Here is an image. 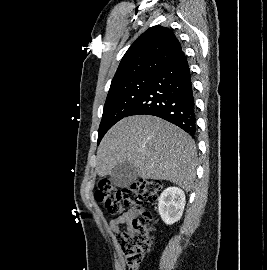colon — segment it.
I'll return each mask as SVG.
<instances>
[{
	"mask_svg": "<svg viewBox=\"0 0 267 270\" xmlns=\"http://www.w3.org/2000/svg\"><path fill=\"white\" fill-rule=\"evenodd\" d=\"M162 185L157 180L142 179L128 187H116L110 180L97 182L95 199L110 213L117 215L126 208L137 209L147 202L155 204ZM154 215L143 212L124 230L117 233V241L129 270H137L153 243Z\"/></svg>",
	"mask_w": 267,
	"mask_h": 270,
	"instance_id": "5ec220e1",
	"label": "colon"
}]
</instances>
